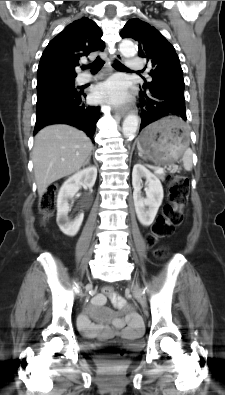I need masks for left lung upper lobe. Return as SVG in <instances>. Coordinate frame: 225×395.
<instances>
[{
  "mask_svg": "<svg viewBox=\"0 0 225 395\" xmlns=\"http://www.w3.org/2000/svg\"><path fill=\"white\" fill-rule=\"evenodd\" d=\"M139 43V56L151 62L153 80L143 85L144 91L180 89L184 91L183 71L174 47L150 24L134 18L120 33Z\"/></svg>",
  "mask_w": 225,
  "mask_h": 395,
  "instance_id": "5c2ea615",
  "label": "left lung upper lobe"
}]
</instances>
